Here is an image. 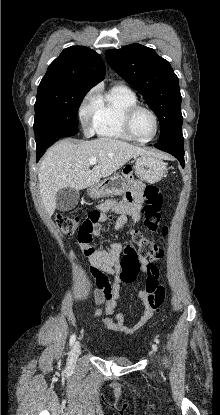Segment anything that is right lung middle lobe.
Returning <instances> with one entry per match:
<instances>
[{
  "instance_id": "obj_1",
  "label": "right lung middle lobe",
  "mask_w": 220,
  "mask_h": 415,
  "mask_svg": "<svg viewBox=\"0 0 220 415\" xmlns=\"http://www.w3.org/2000/svg\"><path fill=\"white\" fill-rule=\"evenodd\" d=\"M89 90L65 85L38 87L34 121L37 149L77 134L78 105Z\"/></svg>"
}]
</instances>
